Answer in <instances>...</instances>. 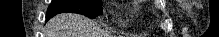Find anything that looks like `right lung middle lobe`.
<instances>
[{
    "mask_svg": "<svg viewBox=\"0 0 219 37\" xmlns=\"http://www.w3.org/2000/svg\"><path fill=\"white\" fill-rule=\"evenodd\" d=\"M59 13H77L93 19L102 14V2L100 0H53L46 16L51 17Z\"/></svg>",
    "mask_w": 219,
    "mask_h": 37,
    "instance_id": "obj_1",
    "label": "right lung middle lobe"
}]
</instances>
